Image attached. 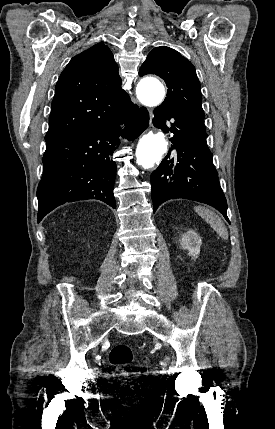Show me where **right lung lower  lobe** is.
<instances>
[{
	"instance_id": "1",
	"label": "right lung lower lobe",
	"mask_w": 275,
	"mask_h": 429,
	"mask_svg": "<svg viewBox=\"0 0 275 429\" xmlns=\"http://www.w3.org/2000/svg\"><path fill=\"white\" fill-rule=\"evenodd\" d=\"M120 124L125 125L124 129ZM148 124L146 108L130 102L113 121L47 142L44 172L37 188L38 222L57 206L77 200L98 199L115 209L113 188L117 168L113 151L120 136L134 140Z\"/></svg>"
}]
</instances>
